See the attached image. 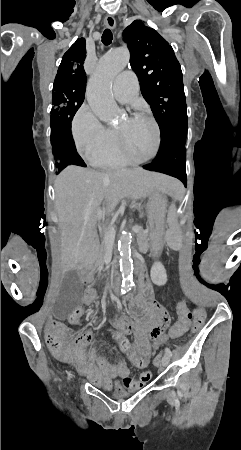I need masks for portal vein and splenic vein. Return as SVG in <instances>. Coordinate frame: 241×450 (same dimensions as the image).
<instances>
[{
    "instance_id": "18ae733b",
    "label": "portal vein and splenic vein",
    "mask_w": 241,
    "mask_h": 450,
    "mask_svg": "<svg viewBox=\"0 0 241 450\" xmlns=\"http://www.w3.org/2000/svg\"><path fill=\"white\" fill-rule=\"evenodd\" d=\"M137 227H138L137 225L132 226L131 230L137 231L138 230ZM103 232H104V240H107V242H114L116 232H115V228H113V226H107V228H103Z\"/></svg>"
}]
</instances>
